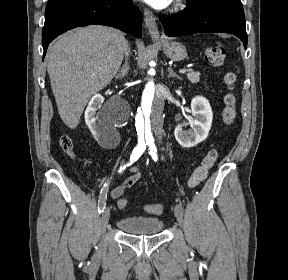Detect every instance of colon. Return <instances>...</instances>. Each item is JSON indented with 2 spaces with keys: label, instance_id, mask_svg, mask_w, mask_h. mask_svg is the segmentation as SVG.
<instances>
[{
  "label": "colon",
  "instance_id": "1",
  "mask_svg": "<svg viewBox=\"0 0 288 280\" xmlns=\"http://www.w3.org/2000/svg\"><path fill=\"white\" fill-rule=\"evenodd\" d=\"M225 49L220 45H210L205 49L204 57L206 62L212 67H221L225 60ZM224 84L228 89H233L236 83V75L233 72H228L223 77ZM236 98L233 94L229 93L224 99V108L222 111L223 121L227 126H230L236 119ZM62 150L68 154H73V142L71 138L67 135H62L59 140ZM218 158V153L216 150L209 151L203 158L201 164L196 167V169L191 174L188 185L190 187H197L201 182H203L209 170L214 166ZM119 206L126 208L127 200L124 198L119 203ZM145 210L151 214H161L163 211L162 204L146 205Z\"/></svg>",
  "mask_w": 288,
  "mask_h": 280
}]
</instances>
